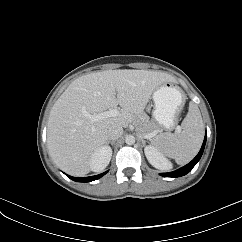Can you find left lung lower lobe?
<instances>
[{
    "label": "left lung lower lobe",
    "mask_w": 242,
    "mask_h": 242,
    "mask_svg": "<svg viewBox=\"0 0 242 242\" xmlns=\"http://www.w3.org/2000/svg\"><path fill=\"white\" fill-rule=\"evenodd\" d=\"M205 143H206V136L199 153L190 163H188L187 165H185L184 167L176 171L169 172V173H160V175L164 177H180L189 173L192 170V168L196 165V163L200 160L204 151Z\"/></svg>",
    "instance_id": "1"
}]
</instances>
